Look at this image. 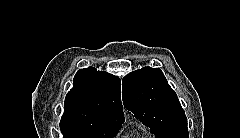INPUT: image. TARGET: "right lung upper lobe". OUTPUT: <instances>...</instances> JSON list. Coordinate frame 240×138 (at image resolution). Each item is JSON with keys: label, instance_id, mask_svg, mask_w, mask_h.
Wrapping results in <instances>:
<instances>
[{"label": "right lung upper lobe", "instance_id": "cb5924a9", "mask_svg": "<svg viewBox=\"0 0 240 138\" xmlns=\"http://www.w3.org/2000/svg\"><path fill=\"white\" fill-rule=\"evenodd\" d=\"M61 120L118 126L124 122L120 79L93 67L79 70L65 98Z\"/></svg>", "mask_w": 240, "mask_h": 138}]
</instances>
